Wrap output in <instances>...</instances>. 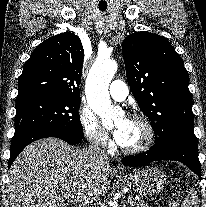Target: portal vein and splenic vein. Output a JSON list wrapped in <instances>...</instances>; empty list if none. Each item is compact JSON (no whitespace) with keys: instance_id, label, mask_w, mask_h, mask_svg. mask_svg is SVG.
I'll use <instances>...</instances> for the list:
<instances>
[{"instance_id":"1","label":"portal vein and splenic vein","mask_w":206,"mask_h":207,"mask_svg":"<svg viewBox=\"0 0 206 207\" xmlns=\"http://www.w3.org/2000/svg\"><path fill=\"white\" fill-rule=\"evenodd\" d=\"M69 194V196H71L72 198H74V200H76L77 202H81V203H87L86 201H84V200H82L81 198H80V194H76V193H68ZM66 195H67V193H66ZM127 202H129V199H127L126 200ZM97 204H95V206H96Z\"/></svg>"}]
</instances>
